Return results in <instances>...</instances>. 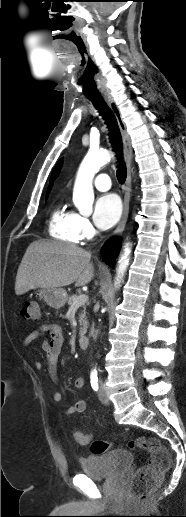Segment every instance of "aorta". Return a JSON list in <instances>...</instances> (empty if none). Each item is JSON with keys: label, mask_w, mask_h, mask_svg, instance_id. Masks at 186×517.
Listing matches in <instances>:
<instances>
[{"label": "aorta", "mask_w": 186, "mask_h": 517, "mask_svg": "<svg viewBox=\"0 0 186 517\" xmlns=\"http://www.w3.org/2000/svg\"><path fill=\"white\" fill-rule=\"evenodd\" d=\"M110 160L111 154L108 150H90L83 159L77 172L73 189V202L81 213H91L94 201L93 177ZM130 253V244L126 243L118 262L114 283L115 288H118L125 275Z\"/></svg>", "instance_id": "762f6f07"}]
</instances>
